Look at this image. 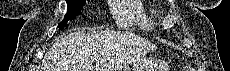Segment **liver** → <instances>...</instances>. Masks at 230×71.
Returning a JSON list of instances; mask_svg holds the SVG:
<instances>
[{"instance_id":"liver-1","label":"liver","mask_w":230,"mask_h":71,"mask_svg":"<svg viewBox=\"0 0 230 71\" xmlns=\"http://www.w3.org/2000/svg\"><path fill=\"white\" fill-rule=\"evenodd\" d=\"M154 49L146 39L128 32L75 31L47 51L41 71H121Z\"/></svg>"}]
</instances>
